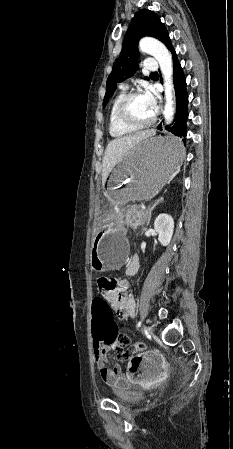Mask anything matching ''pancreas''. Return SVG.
<instances>
[{"label":"pancreas","mask_w":233,"mask_h":449,"mask_svg":"<svg viewBox=\"0 0 233 449\" xmlns=\"http://www.w3.org/2000/svg\"><path fill=\"white\" fill-rule=\"evenodd\" d=\"M147 218V212L138 206H130L124 209L119 215L120 221L133 228L145 224Z\"/></svg>","instance_id":"cf45deb5"}]
</instances>
